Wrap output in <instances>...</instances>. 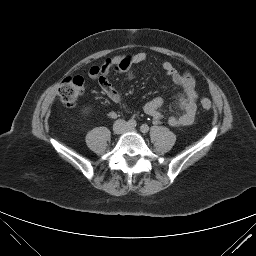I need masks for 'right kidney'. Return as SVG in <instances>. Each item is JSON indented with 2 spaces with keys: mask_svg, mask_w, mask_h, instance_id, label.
<instances>
[{
  "mask_svg": "<svg viewBox=\"0 0 256 256\" xmlns=\"http://www.w3.org/2000/svg\"><path fill=\"white\" fill-rule=\"evenodd\" d=\"M83 113L84 114H88L89 111H90V108L89 107H85L84 109H82Z\"/></svg>",
  "mask_w": 256,
  "mask_h": 256,
  "instance_id": "right-kidney-1",
  "label": "right kidney"
}]
</instances>
